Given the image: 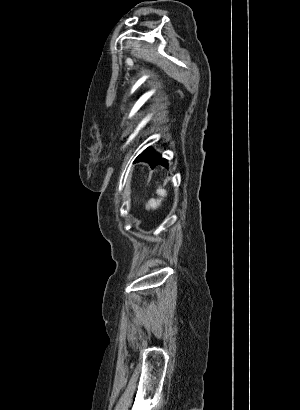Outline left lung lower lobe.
<instances>
[{
	"label": "left lung lower lobe",
	"instance_id": "0a47b994",
	"mask_svg": "<svg viewBox=\"0 0 300 410\" xmlns=\"http://www.w3.org/2000/svg\"><path fill=\"white\" fill-rule=\"evenodd\" d=\"M144 161L148 162L151 168H154L156 165H163L167 166V160L163 159L159 154H157L153 149L150 147L144 150L135 160V162Z\"/></svg>",
	"mask_w": 300,
	"mask_h": 410
}]
</instances>
